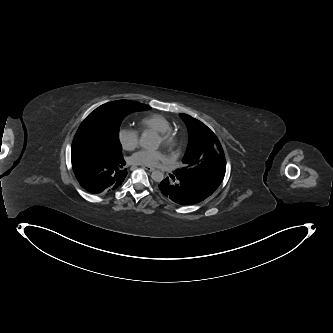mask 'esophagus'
<instances>
[{
  "mask_svg": "<svg viewBox=\"0 0 333 333\" xmlns=\"http://www.w3.org/2000/svg\"><path fill=\"white\" fill-rule=\"evenodd\" d=\"M143 168H144L146 171H149V172H152V171L155 170L153 167H150V166H143Z\"/></svg>",
  "mask_w": 333,
  "mask_h": 333,
  "instance_id": "34e87169",
  "label": "esophagus"
}]
</instances>
